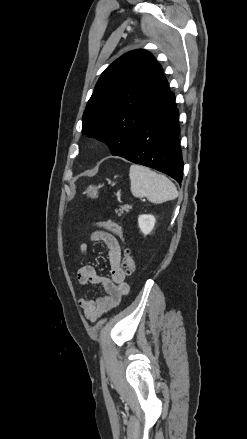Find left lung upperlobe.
Masks as SVG:
<instances>
[{"instance_id": "1", "label": "left lung upper lobe", "mask_w": 247, "mask_h": 439, "mask_svg": "<svg viewBox=\"0 0 247 439\" xmlns=\"http://www.w3.org/2000/svg\"><path fill=\"white\" fill-rule=\"evenodd\" d=\"M162 67L146 50L130 51L100 76L82 118V133L124 155L138 129L170 96Z\"/></svg>"}]
</instances>
